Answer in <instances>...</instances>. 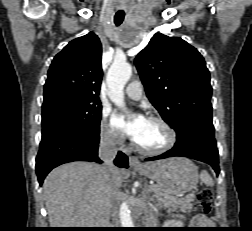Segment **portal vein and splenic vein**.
Returning <instances> with one entry per match:
<instances>
[{
	"label": "portal vein and splenic vein",
	"instance_id": "18ae733b",
	"mask_svg": "<svg viewBox=\"0 0 252 231\" xmlns=\"http://www.w3.org/2000/svg\"><path fill=\"white\" fill-rule=\"evenodd\" d=\"M149 189H150V190H153V189H154V187H153V186H150V187H149ZM172 197H173V196H172ZM175 198H176V197H175Z\"/></svg>",
	"mask_w": 252,
	"mask_h": 231
}]
</instances>
